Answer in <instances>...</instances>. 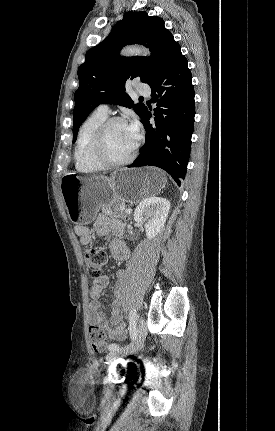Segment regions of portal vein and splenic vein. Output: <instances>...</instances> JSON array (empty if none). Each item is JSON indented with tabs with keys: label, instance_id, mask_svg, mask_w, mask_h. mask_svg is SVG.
I'll return each mask as SVG.
<instances>
[{
	"label": "portal vein and splenic vein",
	"instance_id": "portal-vein-and-splenic-vein-1",
	"mask_svg": "<svg viewBox=\"0 0 275 431\" xmlns=\"http://www.w3.org/2000/svg\"><path fill=\"white\" fill-rule=\"evenodd\" d=\"M125 212L127 213V214H130L131 212H132V210L131 209H125Z\"/></svg>",
	"mask_w": 275,
	"mask_h": 431
}]
</instances>
